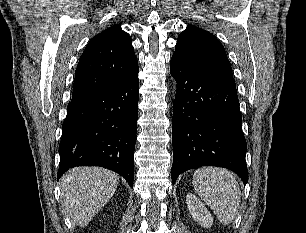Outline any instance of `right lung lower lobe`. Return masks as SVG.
I'll return each mask as SVG.
<instances>
[{
	"mask_svg": "<svg viewBox=\"0 0 306 233\" xmlns=\"http://www.w3.org/2000/svg\"><path fill=\"white\" fill-rule=\"evenodd\" d=\"M138 68L118 85L71 100L62 124L59 179L75 166H100L134 180Z\"/></svg>",
	"mask_w": 306,
	"mask_h": 233,
	"instance_id": "1",
	"label": "right lung lower lobe"
}]
</instances>
